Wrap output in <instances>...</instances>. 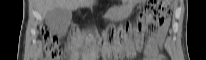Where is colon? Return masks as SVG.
Wrapping results in <instances>:
<instances>
[{"label": "colon", "instance_id": "colon-1", "mask_svg": "<svg viewBox=\"0 0 206 60\" xmlns=\"http://www.w3.org/2000/svg\"><path fill=\"white\" fill-rule=\"evenodd\" d=\"M173 9L172 1L170 0H157L150 1L144 8L143 14L140 18L139 28L144 29L149 25L163 24L169 17ZM129 27L126 26L125 31H128ZM43 39L44 55L47 59L56 60L62 57L63 50L59 44L58 39L51 35L46 27L41 29ZM105 35L110 39L116 37V31L114 28H108Z\"/></svg>", "mask_w": 206, "mask_h": 60}]
</instances>
